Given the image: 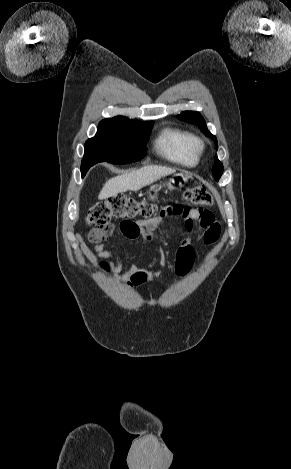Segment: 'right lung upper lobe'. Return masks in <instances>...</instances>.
I'll use <instances>...</instances> for the list:
<instances>
[{"mask_svg": "<svg viewBox=\"0 0 291 469\" xmlns=\"http://www.w3.org/2000/svg\"><path fill=\"white\" fill-rule=\"evenodd\" d=\"M105 120L130 121V119H128L126 117H123V116H117V117L109 118V119H105Z\"/></svg>", "mask_w": 291, "mask_h": 469, "instance_id": "obj_1", "label": "right lung upper lobe"}]
</instances>
